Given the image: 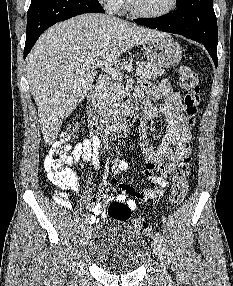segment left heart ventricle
<instances>
[{"label":"left heart ventricle","mask_w":233,"mask_h":286,"mask_svg":"<svg viewBox=\"0 0 233 286\" xmlns=\"http://www.w3.org/2000/svg\"><path fill=\"white\" fill-rule=\"evenodd\" d=\"M134 2L138 8L150 13L162 12L171 4V0H134Z\"/></svg>","instance_id":"1"}]
</instances>
